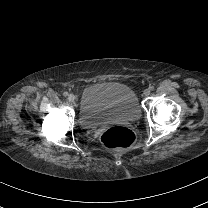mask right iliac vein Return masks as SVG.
<instances>
[{"label":"right iliac vein","instance_id":"right-iliac-vein-1","mask_svg":"<svg viewBox=\"0 0 208 208\" xmlns=\"http://www.w3.org/2000/svg\"><path fill=\"white\" fill-rule=\"evenodd\" d=\"M68 100H69L70 102H74V101H75V96H74L73 94H70V95L68 96Z\"/></svg>","mask_w":208,"mask_h":208}]
</instances>
